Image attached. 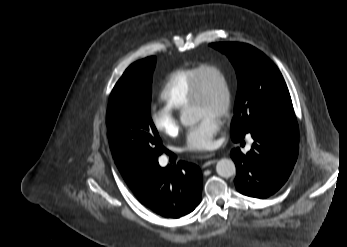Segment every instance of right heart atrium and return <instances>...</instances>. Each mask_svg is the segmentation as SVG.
I'll use <instances>...</instances> for the list:
<instances>
[{"label": "right heart atrium", "mask_w": 347, "mask_h": 247, "mask_svg": "<svg viewBox=\"0 0 347 247\" xmlns=\"http://www.w3.org/2000/svg\"><path fill=\"white\" fill-rule=\"evenodd\" d=\"M150 120L153 127L165 136H174L178 132L179 125L177 117L166 106L153 108L150 111Z\"/></svg>", "instance_id": "obj_1"}]
</instances>
